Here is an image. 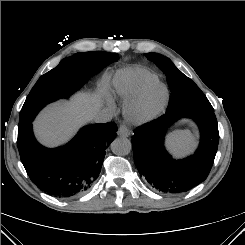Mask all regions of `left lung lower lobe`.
Wrapping results in <instances>:
<instances>
[{"mask_svg":"<svg viewBox=\"0 0 245 245\" xmlns=\"http://www.w3.org/2000/svg\"><path fill=\"white\" fill-rule=\"evenodd\" d=\"M193 119L200 130V144L196 152L174 160L164 147L166 130L178 119ZM219 131L214 109L179 107L159 118L137 127L132 137L134 162L141 176L153 188L176 194L203 182L214 162Z\"/></svg>","mask_w":245,"mask_h":245,"instance_id":"0a47b994","label":"left lung lower lobe"}]
</instances>
